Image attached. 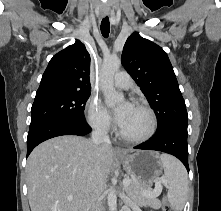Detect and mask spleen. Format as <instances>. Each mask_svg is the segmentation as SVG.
<instances>
[{
	"mask_svg": "<svg viewBox=\"0 0 221 211\" xmlns=\"http://www.w3.org/2000/svg\"><path fill=\"white\" fill-rule=\"evenodd\" d=\"M160 160L164 177L168 183L167 199L175 211H181L188 194V176L185 167L179 160L168 154H161Z\"/></svg>",
	"mask_w": 221,
	"mask_h": 211,
	"instance_id": "spleen-1",
	"label": "spleen"
}]
</instances>
